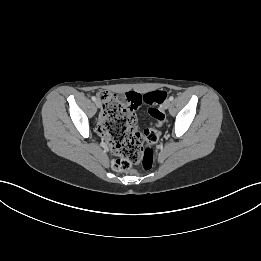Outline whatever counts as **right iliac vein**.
I'll return each instance as SVG.
<instances>
[{
	"mask_svg": "<svg viewBox=\"0 0 261 261\" xmlns=\"http://www.w3.org/2000/svg\"><path fill=\"white\" fill-rule=\"evenodd\" d=\"M96 106L98 107V108H100L101 107V102H100V100H96Z\"/></svg>",
	"mask_w": 261,
	"mask_h": 261,
	"instance_id": "right-iliac-vein-1",
	"label": "right iliac vein"
}]
</instances>
